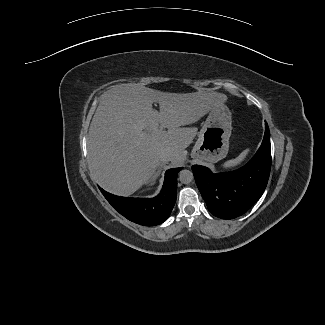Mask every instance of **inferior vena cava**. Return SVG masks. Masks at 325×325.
I'll use <instances>...</instances> for the list:
<instances>
[{"instance_id":"602c4592","label":"inferior vena cava","mask_w":325,"mask_h":325,"mask_svg":"<svg viewBox=\"0 0 325 325\" xmlns=\"http://www.w3.org/2000/svg\"><path fill=\"white\" fill-rule=\"evenodd\" d=\"M159 158L162 162H168L173 159V154L170 151H162L159 154Z\"/></svg>"}]
</instances>
